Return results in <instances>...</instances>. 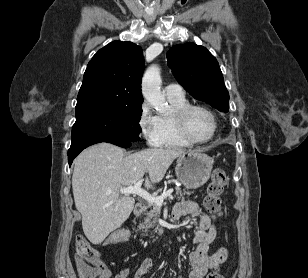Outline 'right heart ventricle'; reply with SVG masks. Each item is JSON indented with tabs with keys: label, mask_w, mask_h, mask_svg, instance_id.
Instances as JSON below:
<instances>
[{
	"label": "right heart ventricle",
	"mask_w": 308,
	"mask_h": 278,
	"mask_svg": "<svg viewBox=\"0 0 308 278\" xmlns=\"http://www.w3.org/2000/svg\"><path fill=\"white\" fill-rule=\"evenodd\" d=\"M168 101L173 107V111L188 103L185 96L181 98L168 97ZM171 115L158 117L161 132V142L159 146L166 148H182L190 146L191 144L178 134Z\"/></svg>",
	"instance_id": "obj_1"
}]
</instances>
